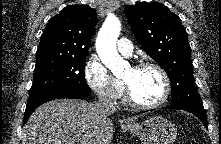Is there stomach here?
<instances>
[{"label": "stomach", "mask_w": 221, "mask_h": 144, "mask_svg": "<svg viewBox=\"0 0 221 144\" xmlns=\"http://www.w3.org/2000/svg\"><path fill=\"white\" fill-rule=\"evenodd\" d=\"M124 129L138 136L143 144H173L177 136L174 125L162 116L125 125Z\"/></svg>", "instance_id": "obj_1"}]
</instances>
